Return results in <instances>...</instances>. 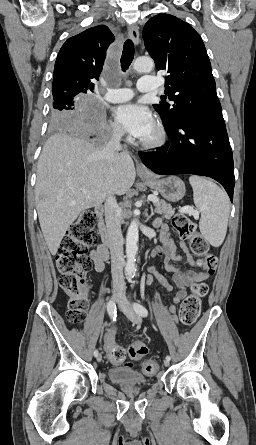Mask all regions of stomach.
<instances>
[{
  "label": "stomach",
  "mask_w": 256,
  "mask_h": 445,
  "mask_svg": "<svg viewBox=\"0 0 256 445\" xmlns=\"http://www.w3.org/2000/svg\"><path fill=\"white\" fill-rule=\"evenodd\" d=\"M142 180L148 187L159 192L164 199L170 202H177L185 195V184L177 176H170L163 179L157 177H142Z\"/></svg>",
  "instance_id": "obj_1"
}]
</instances>
